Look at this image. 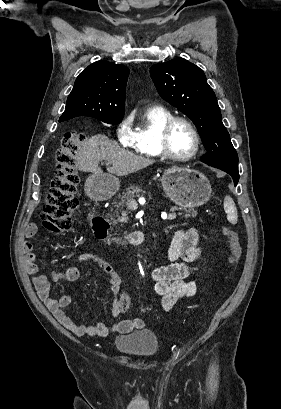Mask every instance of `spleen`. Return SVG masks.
Returning a JSON list of instances; mask_svg holds the SVG:
<instances>
[{
	"label": "spleen",
	"mask_w": 281,
	"mask_h": 409,
	"mask_svg": "<svg viewBox=\"0 0 281 409\" xmlns=\"http://www.w3.org/2000/svg\"><path fill=\"white\" fill-rule=\"evenodd\" d=\"M224 211L227 213V219L232 225H236L238 221V213L235 202L231 196H225L224 198Z\"/></svg>",
	"instance_id": "3e777b00"
}]
</instances>
